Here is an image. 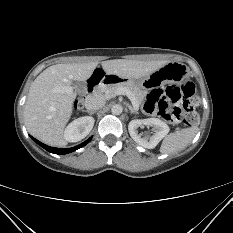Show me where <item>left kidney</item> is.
Segmentation results:
<instances>
[{"label": "left kidney", "mask_w": 233, "mask_h": 233, "mask_svg": "<svg viewBox=\"0 0 233 233\" xmlns=\"http://www.w3.org/2000/svg\"><path fill=\"white\" fill-rule=\"evenodd\" d=\"M143 125L153 126L154 134L149 138H141L138 134V127ZM129 134L132 139L140 146L153 149L168 134V125L158 118L135 119L131 120L128 125Z\"/></svg>", "instance_id": "left-kidney-1"}]
</instances>
